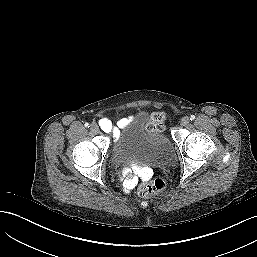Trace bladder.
Listing matches in <instances>:
<instances>
[{
    "label": "bladder",
    "mask_w": 257,
    "mask_h": 257,
    "mask_svg": "<svg viewBox=\"0 0 257 257\" xmlns=\"http://www.w3.org/2000/svg\"><path fill=\"white\" fill-rule=\"evenodd\" d=\"M127 136L143 147L147 156L156 164H162L172 155V145L168 136L154 129L146 111L138 112L126 127Z\"/></svg>",
    "instance_id": "bladder-1"
}]
</instances>
